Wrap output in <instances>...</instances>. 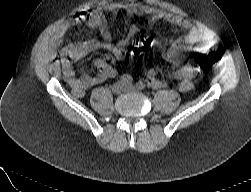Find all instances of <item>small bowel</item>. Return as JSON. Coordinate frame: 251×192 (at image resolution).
I'll list each match as a JSON object with an SVG mask.
<instances>
[{"label":"small bowel","mask_w":251,"mask_h":192,"mask_svg":"<svg viewBox=\"0 0 251 192\" xmlns=\"http://www.w3.org/2000/svg\"><path fill=\"white\" fill-rule=\"evenodd\" d=\"M101 24L100 19L90 21L92 28H98ZM175 25L186 30V34L177 38L165 50L167 61L174 65L182 63L186 55L195 51L204 49L208 46L209 38L199 28L192 26L186 21L176 22ZM124 44L119 42L113 44L109 33L102 30L98 39H90L78 44H66L61 49L62 75L76 97H83L86 91L92 86L98 85L115 75V70L103 61L96 63V73L94 75H84L77 77L73 67L85 58L95 49H103L111 52L119 59L124 52ZM197 68L192 64H183L176 71V77L179 80V89L182 92L191 91L194 88V76ZM148 77L151 79L154 88L160 89L168 86V83L158 77L155 69L148 71Z\"/></svg>","instance_id":"small-bowel-1"}]
</instances>
